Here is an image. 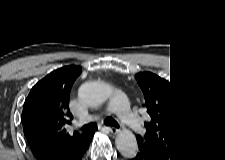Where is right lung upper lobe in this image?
<instances>
[{"label": "right lung upper lobe", "mask_w": 225, "mask_h": 160, "mask_svg": "<svg viewBox=\"0 0 225 160\" xmlns=\"http://www.w3.org/2000/svg\"><path fill=\"white\" fill-rule=\"evenodd\" d=\"M80 73L81 68L75 65L54 70L33 86L25 100L23 130L36 157L52 150L70 151L92 136V130L67 132L73 119L68 110L69 94Z\"/></svg>", "instance_id": "cb5924a9"}]
</instances>
